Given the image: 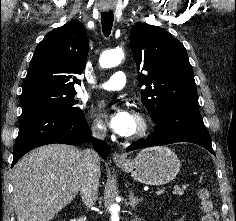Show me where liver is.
<instances>
[{
    "label": "liver",
    "mask_w": 236,
    "mask_h": 221,
    "mask_svg": "<svg viewBox=\"0 0 236 221\" xmlns=\"http://www.w3.org/2000/svg\"><path fill=\"white\" fill-rule=\"evenodd\" d=\"M82 173V151L73 146L46 145L24 156L13 168L17 220L50 221L78 194Z\"/></svg>",
    "instance_id": "obj_1"
}]
</instances>
